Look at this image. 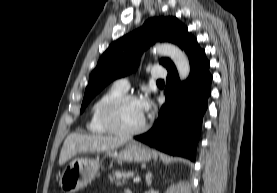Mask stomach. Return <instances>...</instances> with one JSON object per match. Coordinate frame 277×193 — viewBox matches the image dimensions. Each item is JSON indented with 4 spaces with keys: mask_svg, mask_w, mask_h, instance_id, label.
<instances>
[{
    "mask_svg": "<svg viewBox=\"0 0 277 193\" xmlns=\"http://www.w3.org/2000/svg\"><path fill=\"white\" fill-rule=\"evenodd\" d=\"M112 156L118 162H148L152 151L140 143L131 141L119 152L115 150ZM100 167L99 157L92 159L76 157L69 162L61 173L59 184L64 193H75L84 188L95 178Z\"/></svg>",
    "mask_w": 277,
    "mask_h": 193,
    "instance_id": "1",
    "label": "stomach"
}]
</instances>
